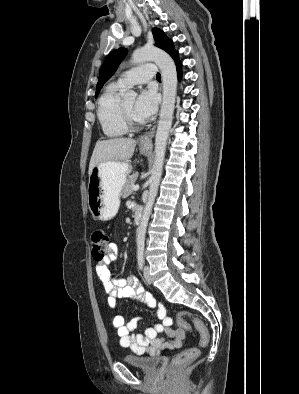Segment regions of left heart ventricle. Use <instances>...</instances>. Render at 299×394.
<instances>
[{
    "label": "left heart ventricle",
    "mask_w": 299,
    "mask_h": 394,
    "mask_svg": "<svg viewBox=\"0 0 299 394\" xmlns=\"http://www.w3.org/2000/svg\"><path fill=\"white\" fill-rule=\"evenodd\" d=\"M124 106L126 108V110L128 111V113L136 120H139L135 113H134V105H135V99H127L123 101Z\"/></svg>",
    "instance_id": "left-heart-ventricle-1"
}]
</instances>
